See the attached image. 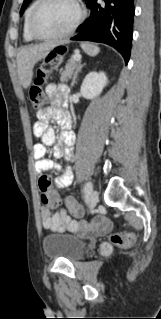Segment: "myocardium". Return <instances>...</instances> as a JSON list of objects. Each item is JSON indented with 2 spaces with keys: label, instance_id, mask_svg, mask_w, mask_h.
I'll return each mask as SVG.
<instances>
[{
  "label": "myocardium",
  "instance_id": "1",
  "mask_svg": "<svg viewBox=\"0 0 161 319\" xmlns=\"http://www.w3.org/2000/svg\"><path fill=\"white\" fill-rule=\"evenodd\" d=\"M49 0H39L37 5L35 6L29 21V31L31 36L37 40H56L70 35L80 24L85 15V10L80 2V0H71L76 8V16L71 22V24L62 32L54 35H40L35 29V19L41 10V8L48 2Z\"/></svg>",
  "mask_w": 161,
  "mask_h": 319
}]
</instances>
